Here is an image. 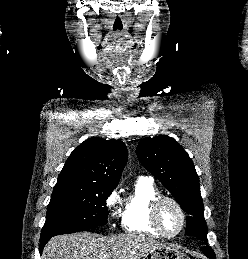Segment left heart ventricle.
Instances as JSON below:
<instances>
[{
  "label": "left heart ventricle",
  "instance_id": "1",
  "mask_svg": "<svg viewBox=\"0 0 248 259\" xmlns=\"http://www.w3.org/2000/svg\"><path fill=\"white\" fill-rule=\"evenodd\" d=\"M160 222L168 234H175L181 226V215L178 209L169 202L162 205L160 209Z\"/></svg>",
  "mask_w": 248,
  "mask_h": 259
}]
</instances>
